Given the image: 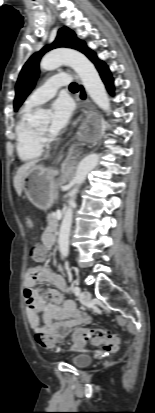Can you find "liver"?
<instances>
[{"instance_id": "obj_1", "label": "liver", "mask_w": 155, "mask_h": 413, "mask_svg": "<svg viewBox=\"0 0 155 413\" xmlns=\"http://www.w3.org/2000/svg\"><path fill=\"white\" fill-rule=\"evenodd\" d=\"M39 162V160H33L30 162H27L25 164H23L16 172V175L14 176V188L18 194V196L21 195L22 193V181L23 178L25 176V174L27 173V171L32 168L33 166H35L37 163Z\"/></svg>"}]
</instances>
